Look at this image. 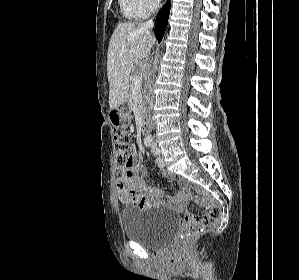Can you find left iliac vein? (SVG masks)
Listing matches in <instances>:
<instances>
[{
  "label": "left iliac vein",
  "mask_w": 299,
  "mask_h": 280,
  "mask_svg": "<svg viewBox=\"0 0 299 280\" xmlns=\"http://www.w3.org/2000/svg\"><path fill=\"white\" fill-rule=\"evenodd\" d=\"M156 163H157V165H158L159 167H161V168H163V167L165 166V161H164V157H163V155L160 154V155L157 157Z\"/></svg>",
  "instance_id": "1"
}]
</instances>
